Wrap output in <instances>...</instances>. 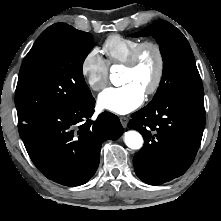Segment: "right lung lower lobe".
I'll return each instance as SVG.
<instances>
[{"label":"right lung lower lobe","instance_id":"1","mask_svg":"<svg viewBox=\"0 0 221 221\" xmlns=\"http://www.w3.org/2000/svg\"><path fill=\"white\" fill-rule=\"evenodd\" d=\"M94 104L91 96L74 108L38 113L18 123L31 160L48 179L70 187L85 184L99 165L102 143L122 135L116 115L103 112L90 119Z\"/></svg>","mask_w":221,"mask_h":221}]
</instances>
